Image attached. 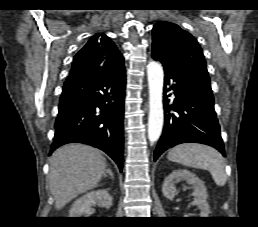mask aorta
<instances>
[{"label": "aorta", "mask_w": 258, "mask_h": 227, "mask_svg": "<svg viewBox=\"0 0 258 227\" xmlns=\"http://www.w3.org/2000/svg\"><path fill=\"white\" fill-rule=\"evenodd\" d=\"M148 87H149V117H148V139L151 143L156 142L162 132L163 114V68L151 61L147 66Z\"/></svg>", "instance_id": "obj_1"}]
</instances>
